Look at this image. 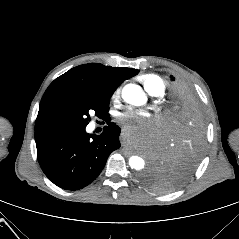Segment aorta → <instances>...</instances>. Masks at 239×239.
Wrapping results in <instances>:
<instances>
[{"label":"aorta","mask_w":239,"mask_h":239,"mask_svg":"<svg viewBox=\"0 0 239 239\" xmlns=\"http://www.w3.org/2000/svg\"><path fill=\"white\" fill-rule=\"evenodd\" d=\"M122 98L125 102L135 106H141L147 100L144 91L136 84H127L122 90ZM129 165L131 169L142 170L145 166V161L139 156H131L129 158Z\"/></svg>","instance_id":"obj_1"}]
</instances>
